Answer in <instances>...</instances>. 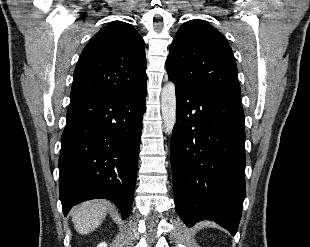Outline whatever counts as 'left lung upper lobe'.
Returning a JSON list of instances; mask_svg holds the SVG:
<instances>
[{
  "instance_id": "5c2ea615",
  "label": "left lung upper lobe",
  "mask_w": 310,
  "mask_h": 247,
  "mask_svg": "<svg viewBox=\"0 0 310 247\" xmlns=\"http://www.w3.org/2000/svg\"><path fill=\"white\" fill-rule=\"evenodd\" d=\"M166 69L176 83L241 102L232 49L217 29L203 21L190 20L179 28Z\"/></svg>"
}]
</instances>
